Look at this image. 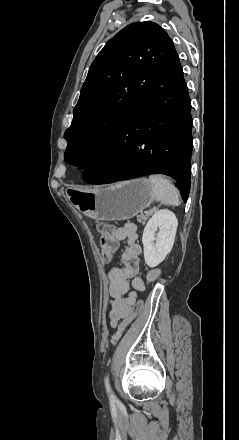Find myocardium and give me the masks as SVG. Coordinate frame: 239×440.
<instances>
[{"label":"myocardium","instance_id":"obj_1","mask_svg":"<svg viewBox=\"0 0 239 440\" xmlns=\"http://www.w3.org/2000/svg\"><path fill=\"white\" fill-rule=\"evenodd\" d=\"M100 156H101V151L100 150H93L92 152H90L87 155L86 159H87L88 163H93V162L97 161Z\"/></svg>","mask_w":239,"mask_h":440}]
</instances>
